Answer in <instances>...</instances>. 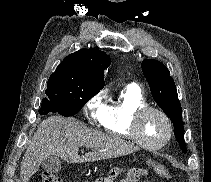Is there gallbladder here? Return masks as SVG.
Here are the masks:
<instances>
[{
    "instance_id": "obj_1",
    "label": "gallbladder",
    "mask_w": 211,
    "mask_h": 182,
    "mask_svg": "<svg viewBox=\"0 0 211 182\" xmlns=\"http://www.w3.org/2000/svg\"><path fill=\"white\" fill-rule=\"evenodd\" d=\"M43 168L50 174L57 173L61 169V161L58 156H50L43 161Z\"/></svg>"
}]
</instances>
